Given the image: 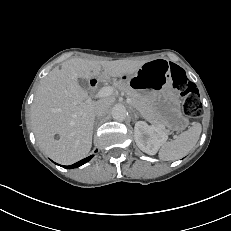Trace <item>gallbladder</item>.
Here are the masks:
<instances>
[{"mask_svg": "<svg viewBox=\"0 0 231 231\" xmlns=\"http://www.w3.org/2000/svg\"><path fill=\"white\" fill-rule=\"evenodd\" d=\"M78 83L80 85V87L84 90H88L90 88V84L88 82V80L80 78L78 79Z\"/></svg>", "mask_w": 231, "mask_h": 231, "instance_id": "1", "label": "gallbladder"}]
</instances>
